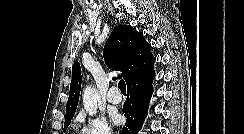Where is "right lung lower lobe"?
<instances>
[{"label": "right lung lower lobe", "instance_id": "right-lung-lower-lobe-1", "mask_svg": "<svg viewBox=\"0 0 244 134\" xmlns=\"http://www.w3.org/2000/svg\"><path fill=\"white\" fill-rule=\"evenodd\" d=\"M154 76L155 74L127 86L128 97L123 105V113L127 121L119 134H137L139 132L153 93Z\"/></svg>", "mask_w": 244, "mask_h": 134}]
</instances>
